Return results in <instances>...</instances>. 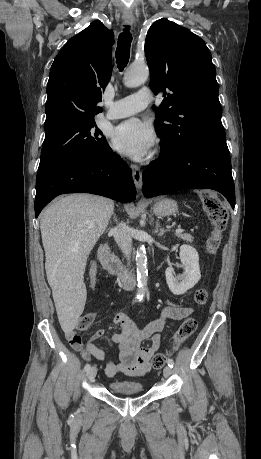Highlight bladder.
<instances>
[{"label": "bladder", "instance_id": "31cf9c89", "mask_svg": "<svg viewBox=\"0 0 261 459\" xmlns=\"http://www.w3.org/2000/svg\"><path fill=\"white\" fill-rule=\"evenodd\" d=\"M109 389L116 394H138L144 391L142 383L133 380H115L110 382Z\"/></svg>", "mask_w": 261, "mask_h": 459}]
</instances>
